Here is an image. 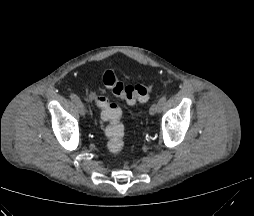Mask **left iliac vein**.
<instances>
[{
	"label": "left iliac vein",
	"instance_id": "obj_1",
	"mask_svg": "<svg viewBox=\"0 0 254 216\" xmlns=\"http://www.w3.org/2000/svg\"><path fill=\"white\" fill-rule=\"evenodd\" d=\"M158 110H159V105H158V103H154V104L150 107V109H149V114H150V115H154V114H156V113L158 112Z\"/></svg>",
	"mask_w": 254,
	"mask_h": 216
}]
</instances>
